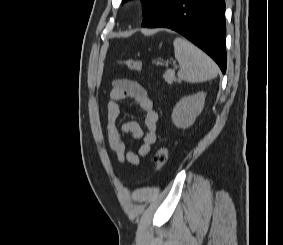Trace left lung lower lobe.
Instances as JSON below:
<instances>
[{
    "label": "left lung lower lobe",
    "mask_w": 283,
    "mask_h": 245,
    "mask_svg": "<svg viewBox=\"0 0 283 245\" xmlns=\"http://www.w3.org/2000/svg\"><path fill=\"white\" fill-rule=\"evenodd\" d=\"M145 27H165L182 34L213 58L225 73L224 0H173Z\"/></svg>",
    "instance_id": "obj_1"
}]
</instances>
